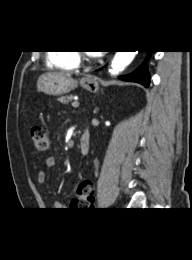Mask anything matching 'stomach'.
<instances>
[{
  "label": "stomach",
  "mask_w": 192,
  "mask_h": 260,
  "mask_svg": "<svg viewBox=\"0 0 192 260\" xmlns=\"http://www.w3.org/2000/svg\"><path fill=\"white\" fill-rule=\"evenodd\" d=\"M78 84L93 93L99 90V83L94 77H84L80 81H76L70 76L60 73H46L41 75L37 81V88L47 95L59 96L74 90Z\"/></svg>",
  "instance_id": "stomach-1"
}]
</instances>
